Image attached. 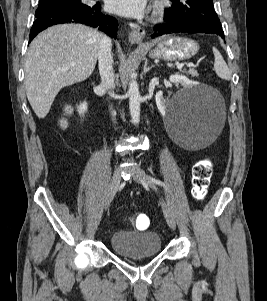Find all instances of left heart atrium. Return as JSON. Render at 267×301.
Wrapping results in <instances>:
<instances>
[{
	"instance_id": "left-heart-atrium-1",
	"label": "left heart atrium",
	"mask_w": 267,
	"mask_h": 301,
	"mask_svg": "<svg viewBox=\"0 0 267 301\" xmlns=\"http://www.w3.org/2000/svg\"><path fill=\"white\" fill-rule=\"evenodd\" d=\"M107 8L121 16L139 17L147 9V0H107Z\"/></svg>"
}]
</instances>
